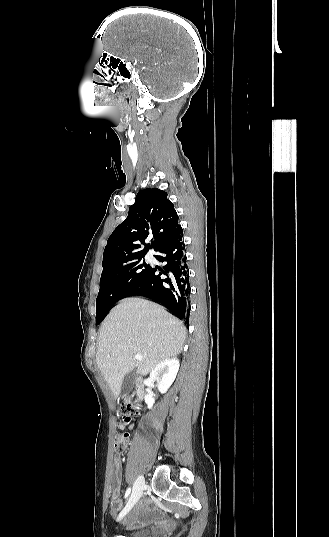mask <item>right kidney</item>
<instances>
[{
	"instance_id": "ca27d5eb",
	"label": "right kidney",
	"mask_w": 329,
	"mask_h": 537,
	"mask_svg": "<svg viewBox=\"0 0 329 537\" xmlns=\"http://www.w3.org/2000/svg\"><path fill=\"white\" fill-rule=\"evenodd\" d=\"M179 370V360L177 358L167 359L159 363L151 372L150 378L157 381L158 389L165 393L176 378ZM145 403L149 409L152 408L155 399L152 394L145 395Z\"/></svg>"
}]
</instances>
